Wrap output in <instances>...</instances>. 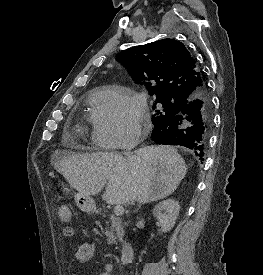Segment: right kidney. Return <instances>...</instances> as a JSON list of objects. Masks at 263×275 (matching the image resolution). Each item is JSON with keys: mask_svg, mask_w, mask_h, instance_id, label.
I'll return each mask as SVG.
<instances>
[{"mask_svg": "<svg viewBox=\"0 0 263 275\" xmlns=\"http://www.w3.org/2000/svg\"><path fill=\"white\" fill-rule=\"evenodd\" d=\"M179 211V202L174 199L164 200L154 207L153 214L158 220L162 232H169L174 227Z\"/></svg>", "mask_w": 263, "mask_h": 275, "instance_id": "right-kidney-1", "label": "right kidney"}]
</instances>
